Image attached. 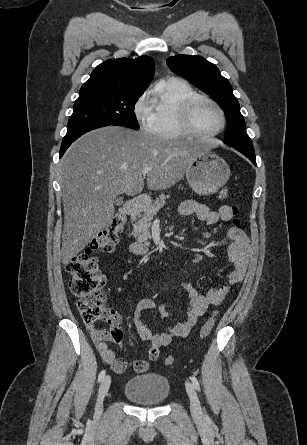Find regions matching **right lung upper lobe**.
Segmentation results:
<instances>
[{
  "label": "right lung upper lobe",
  "instance_id": "right-lung-upper-lobe-1",
  "mask_svg": "<svg viewBox=\"0 0 307 445\" xmlns=\"http://www.w3.org/2000/svg\"><path fill=\"white\" fill-rule=\"evenodd\" d=\"M154 69V60L149 56L107 60L93 70L79 96H141L153 78Z\"/></svg>",
  "mask_w": 307,
  "mask_h": 445
}]
</instances>
